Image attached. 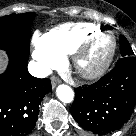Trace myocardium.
<instances>
[{
    "label": "myocardium",
    "mask_w": 136,
    "mask_h": 136,
    "mask_svg": "<svg viewBox=\"0 0 136 136\" xmlns=\"http://www.w3.org/2000/svg\"><path fill=\"white\" fill-rule=\"evenodd\" d=\"M109 35L112 38V46L107 57L96 67L92 69H84L81 62L86 54L89 52L93 44L102 36ZM117 51V39L113 32L108 30H100L85 39L78 48L72 53V66L75 72L82 78L92 80L104 75L110 68L115 58Z\"/></svg>",
    "instance_id": "f54148a6"
}]
</instances>
